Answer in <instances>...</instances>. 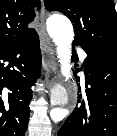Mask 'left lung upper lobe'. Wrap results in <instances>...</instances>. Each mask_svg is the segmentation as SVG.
<instances>
[{"mask_svg": "<svg viewBox=\"0 0 117 136\" xmlns=\"http://www.w3.org/2000/svg\"><path fill=\"white\" fill-rule=\"evenodd\" d=\"M73 23L74 43L85 51L117 57V14L113 0H44Z\"/></svg>", "mask_w": 117, "mask_h": 136, "instance_id": "1", "label": "left lung upper lobe"}]
</instances>
